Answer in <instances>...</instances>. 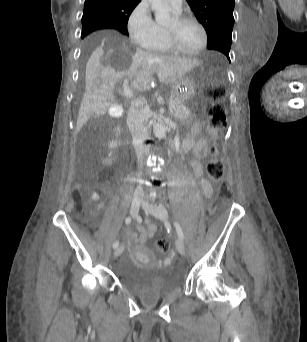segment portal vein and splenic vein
<instances>
[{
	"label": "portal vein and splenic vein",
	"mask_w": 307,
	"mask_h": 342,
	"mask_svg": "<svg viewBox=\"0 0 307 342\" xmlns=\"http://www.w3.org/2000/svg\"><path fill=\"white\" fill-rule=\"evenodd\" d=\"M129 81H130V78L123 79V80L121 81V84L123 85V87L121 88V91H122L123 93H125L126 96H127L130 100H132V99L134 98V97H133L134 88H133V86H127V85L129 84ZM168 109H169L170 111H175L177 108H176L175 106H170Z\"/></svg>",
	"instance_id": "1"
}]
</instances>
